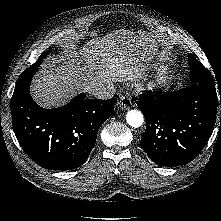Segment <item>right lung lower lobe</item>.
Returning a JSON list of instances; mask_svg holds the SVG:
<instances>
[{"mask_svg":"<svg viewBox=\"0 0 221 221\" xmlns=\"http://www.w3.org/2000/svg\"><path fill=\"white\" fill-rule=\"evenodd\" d=\"M38 60L18 78L11 99L13 129L25 153L51 170H71L85 163L98 130L114 111L117 99H86L78 95L66 106L43 109L31 98L29 84Z\"/></svg>","mask_w":221,"mask_h":221,"instance_id":"1","label":"right lung lower lobe"}]
</instances>
